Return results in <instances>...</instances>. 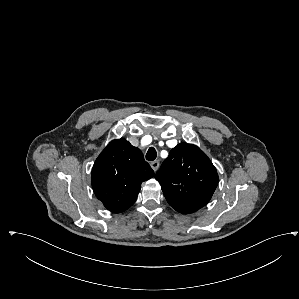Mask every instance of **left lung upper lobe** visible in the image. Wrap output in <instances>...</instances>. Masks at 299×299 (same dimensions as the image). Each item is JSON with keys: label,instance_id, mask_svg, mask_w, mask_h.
Wrapping results in <instances>:
<instances>
[{"label": "left lung upper lobe", "instance_id": "1", "mask_svg": "<svg viewBox=\"0 0 299 299\" xmlns=\"http://www.w3.org/2000/svg\"><path fill=\"white\" fill-rule=\"evenodd\" d=\"M155 178L169 205L182 214L206 205L218 184L210 159L197 146L187 143L170 151Z\"/></svg>", "mask_w": 299, "mask_h": 299}]
</instances>
